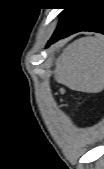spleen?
<instances>
[{
  "instance_id": "1",
  "label": "spleen",
  "mask_w": 104,
  "mask_h": 169,
  "mask_svg": "<svg viewBox=\"0 0 104 169\" xmlns=\"http://www.w3.org/2000/svg\"><path fill=\"white\" fill-rule=\"evenodd\" d=\"M54 77L72 90L101 92L104 88L102 37H83L68 45L57 60Z\"/></svg>"
}]
</instances>
